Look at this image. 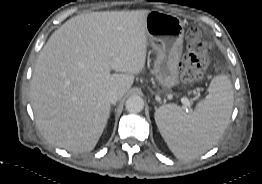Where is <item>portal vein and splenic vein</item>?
Segmentation results:
<instances>
[{
  "instance_id": "18ae733b",
  "label": "portal vein and splenic vein",
  "mask_w": 262,
  "mask_h": 184,
  "mask_svg": "<svg viewBox=\"0 0 262 184\" xmlns=\"http://www.w3.org/2000/svg\"><path fill=\"white\" fill-rule=\"evenodd\" d=\"M181 102H182L183 107H184L185 109L189 108L190 105H191L189 99L186 98V97L181 98Z\"/></svg>"
}]
</instances>
